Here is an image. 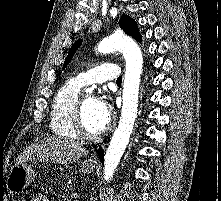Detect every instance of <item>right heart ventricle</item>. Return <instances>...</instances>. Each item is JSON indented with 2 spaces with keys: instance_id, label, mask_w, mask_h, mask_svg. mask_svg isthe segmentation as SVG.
<instances>
[{
  "instance_id": "right-heart-ventricle-1",
  "label": "right heart ventricle",
  "mask_w": 221,
  "mask_h": 201,
  "mask_svg": "<svg viewBox=\"0 0 221 201\" xmlns=\"http://www.w3.org/2000/svg\"><path fill=\"white\" fill-rule=\"evenodd\" d=\"M81 86L70 81L63 85L56 93L50 112V128L52 132L65 139H74V113L79 100Z\"/></svg>"
}]
</instances>
